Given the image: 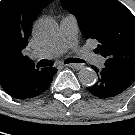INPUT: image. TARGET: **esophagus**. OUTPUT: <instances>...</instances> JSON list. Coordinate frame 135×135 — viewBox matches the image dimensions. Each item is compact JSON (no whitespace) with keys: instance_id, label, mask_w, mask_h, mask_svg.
<instances>
[{"instance_id":"esophagus-1","label":"esophagus","mask_w":135,"mask_h":135,"mask_svg":"<svg viewBox=\"0 0 135 135\" xmlns=\"http://www.w3.org/2000/svg\"><path fill=\"white\" fill-rule=\"evenodd\" d=\"M66 66L70 67V68H73V69H82L84 67L83 64H67Z\"/></svg>"}]
</instances>
